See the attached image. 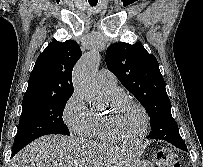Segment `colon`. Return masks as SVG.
<instances>
[{
    "instance_id": "obj_1",
    "label": "colon",
    "mask_w": 203,
    "mask_h": 167,
    "mask_svg": "<svg viewBox=\"0 0 203 167\" xmlns=\"http://www.w3.org/2000/svg\"><path fill=\"white\" fill-rule=\"evenodd\" d=\"M156 163L158 167H180V163L176 160V158L164 150L157 153Z\"/></svg>"
}]
</instances>
